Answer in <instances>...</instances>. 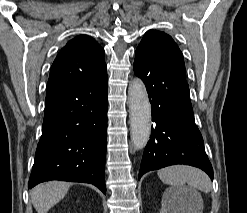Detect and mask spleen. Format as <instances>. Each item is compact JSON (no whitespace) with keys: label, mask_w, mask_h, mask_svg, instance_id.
Returning a JSON list of instances; mask_svg holds the SVG:
<instances>
[{"label":"spleen","mask_w":247,"mask_h":213,"mask_svg":"<svg viewBox=\"0 0 247 213\" xmlns=\"http://www.w3.org/2000/svg\"><path fill=\"white\" fill-rule=\"evenodd\" d=\"M163 183L174 187H182L187 183L192 188L208 193L211 190V181L207 174L198 168L184 165H174L158 171Z\"/></svg>","instance_id":"spleen-1"}]
</instances>
